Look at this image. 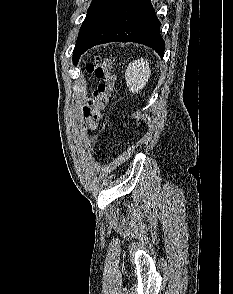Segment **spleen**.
<instances>
[{"instance_id": "obj_1", "label": "spleen", "mask_w": 233, "mask_h": 294, "mask_svg": "<svg viewBox=\"0 0 233 294\" xmlns=\"http://www.w3.org/2000/svg\"><path fill=\"white\" fill-rule=\"evenodd\" d=\"M151 75L147 60L140 58L131 62L125 72L126 84L132 93H138L143 89Z\"/></svg>"}]
</instances>
